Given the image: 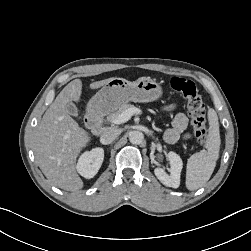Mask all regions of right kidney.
<instances>
[{
    "instance_id": "1",
    "label": "right kidney",
    "mask_w": 251,
    "mask_h": 251,
    "mask_svg": "<svg viewBox=\"0 0 251 251\" xmlns=\"http://www.w3.org/2000/svg\"><path fill=\"white\" fill-rule=\"evenodd\" d=\"M104 159V150L94 148L91 151L84 152L77 163V172L84 178H93L100 169Z\"/></svg>"
}]
</instances>
